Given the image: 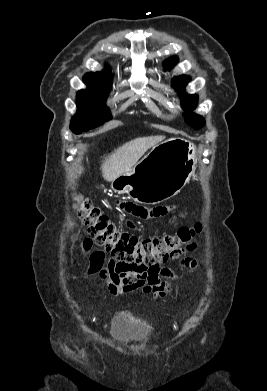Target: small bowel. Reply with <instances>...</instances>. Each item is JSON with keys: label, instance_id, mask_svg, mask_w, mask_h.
I'll return each instance as SVG.
<instances>
[{"label": "small bowel", "instance_id": "small-bowel-1", "mask_svg": "<svg viewBox=\"0 0 267 391\" xmlns=\"http://www.w3.org/2000/svg\"><path fill=\"white\" fill-rule=\"evenodd\" d=\"M117 206L124 212L142 219L162 217L172 209L165 206L146 208L133 202H118ZM128 226L135 227L132 222H128ZM196 264L195 260L190 259L184 262L186 267H195ZM89 273L99 274L114 295L142 292L150 294L152 299L164 298L170 293L168 279L173 277L167 268L147 271L139 266L125 265L112 260L104 266V256L101 252L91 254Z\"/></svg>", "mask_w": 267, "mask_h": 391}]
</instances>
